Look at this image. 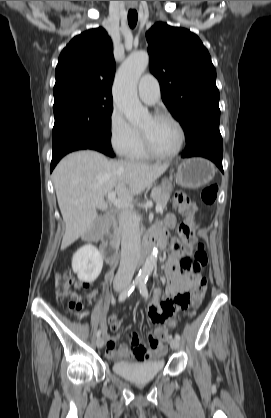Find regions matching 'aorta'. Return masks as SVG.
<instances>
[{
    "label": "aorta",
    "mask_w": 271,
    "mask_h": 418,
    "mask_svg": "<svg viewBox=\"0 0 271 418\" xmlns=\"http://www.w3.org/2000/svg\"><path fill=\"white\" fill-rule=\"evenodd\" d=\"M148 63L149 55L146 51L133 53L122 63L115 78V105L133 125L142 124L150 118L148 109L142 106L137 95L138 81L147 68ZM157 256V249H153L140 270L137 279L144 280L152 273Z\"/></svg>",
    "instance_id": "aorta-1"
}]
</instances>
